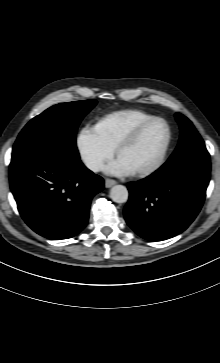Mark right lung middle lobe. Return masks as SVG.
Returning a JSON list of instances; mask_svg holds the SVG:
<instances>
[{"mask_svg":"<svg viewBox=\"0 0 220 363\" xmlns=\"http://www.w3.org/2000/svg\"><path fill=\"white\" fill-rule=\"evenodd\" d=\"M96 103L93 99L61 103L33 118L19 134L11 161L42 150H56L72 159H79L76 130Z\"/></svg>","mask_w":220,"mask_h":363,"instance_id":"obj_1","label":"right lung middle lobe"}]
</instances>
